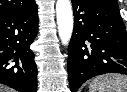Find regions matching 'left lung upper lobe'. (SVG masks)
<instances>
[{
    "instance_id": "obj_1",
    "label": "left lung upper lobe",
    "mask_w": 127,
    "mask_h": 92,
    "mask_svg": "<svg viewBox=\"0 0 127 92\" xmlns=\"http://www.w3.org/2000/svg\"><path fill=\"white\" fill-rule=\"evenodd\" d=\"M86 1L98 4V5H102V6L119 9L116 0H86Z\"/></svg>"
}]
</instances>
